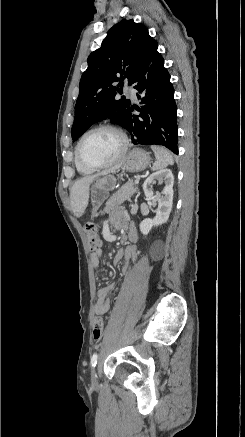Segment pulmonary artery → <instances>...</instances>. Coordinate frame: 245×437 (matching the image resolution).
I'll list each match as a JSON object with an SVG mask.
<instances>
[{
  "instance_id": "e3ab8cb5",
  "label": "pulmonary artery",
  "mask_w": 245,
  "mask_h": 437,
  "mask_svg": "<svg viewBox=\"0 0 245 437\" xmlns=\"http://www.w3.org/2000/svg\"><path fill=\"white\" fill-rule=\"evenodd\" d=\"M124 90L128 95L135 99V91L131 86H125Z\"/></svg>"
}]
</instances>
